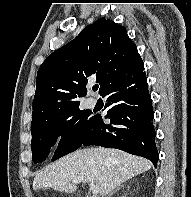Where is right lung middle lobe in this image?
Returning a JSON list of instances; mask_svg holds the SVG:
<instances>
[{
    "label": "right lung middle lobe",
    "mask_w": 191,
    "mask_h": 197,
    "mask_svg": "<svg viewBox=\"0 0 191 197\" xmlns=\"http://www.w3.org/2000/svg\"><path fill=\"white\" fill-rule=\"evenodd\" d=\"M87 111L79 109V105L60 112L31 128L32 160L34 163L44 161L50 153V148L61 136L58 148L52 161L78 149L94 122Z\"/></svg>",
    "instance_id": "right-lung-middle-lobe-1"
}]
</instances>
